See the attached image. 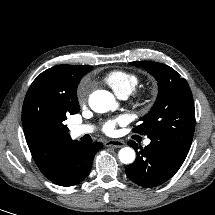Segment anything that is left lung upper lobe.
Wrapping results in <instances>:
<instances>
[{
  "mask_svg": "<svg viewBox=\"0 0 215 215\" xmlns=\"http://www.w3.org/2000/svg\"><path fill=\"white\" fill-rule=\"evenodd\" d=\"M131 65L144 68L158 81L159 92L150 112L133 131L161 140L188 152L195 129V109L192 92L187 81L170 66L135 61Z\"/></svg>",
  "mask_w": 215,
  "mask_h": 215,
  "instance_id": "1",
  "label": "left lung upper lobe"
}]
</instances>
